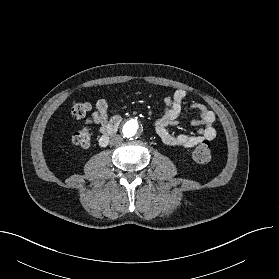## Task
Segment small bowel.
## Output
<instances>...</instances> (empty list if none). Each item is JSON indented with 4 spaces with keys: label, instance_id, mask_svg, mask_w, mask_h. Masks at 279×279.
I'll use <instances>...</instances> for the list:
<instances>
[{
    "label": "small bowel",
    "instance_id": "1",
    "mask_svg": "<svg viewBox=\"0 0 279 279\" xmlns=\"http://www.w3.org/2000/svg\"><path fill=\"white\" fill-rule=\"evenodd\" d=\"M187 92L183 89L176 90L164 100V113L153 125L155 133L162 142L172 147L193 148L204 141H211L216 137L214 128L215 115L201 103L192 102L185 105ZM185 110H197L198 117L192 121L194 126H200L195 134H175L169 127L177 124ZM115 118V117H114ZM113 120L108 115V102L99 99L95 104V111L87 119V123L97 126L102 134Z\"/></svg>",
    "mask_w": 279,
    "mask_h": 279
}]
</instances>
